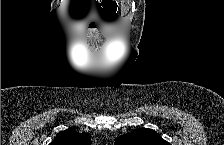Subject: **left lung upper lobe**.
<instances>
[{
	"label": "left lung upper lobe",
	"instance_id": "left-lung-upper-lobe-1",
	"mask_svg": "<svg viewBox=\"0 0 224 145\" xmlns=\"http://www.w3.org/2000/svg\"><path fill=\"white\" fill-rule=\"evenodd\" d=\"M115 145H169V143L154 130L140 128L116 139Z\"/></svg>",
	"mask_w": 224,
	"mask_h": 145
}]
</instances>
